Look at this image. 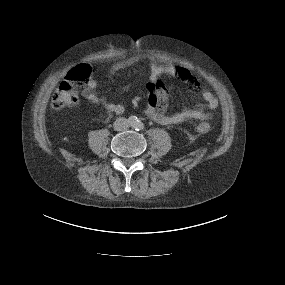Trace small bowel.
<instances>
[{
  "mask_svg": "<svg viewBox=\"0 0 285 285\" xmlns=\"http://www.w3.org/2000/svg\"><path fill=\"white\" fill-rule=\"evenodd\" d=\"M136 62V58H127L125 60H121L111 66L110 72L114 74L127 66L135 64ZM178 69L188 71L185 68L177 67L172 64L151 65V81L149 83L150 93L148 95V104L145 109L146 115L162 125H176L187 120H207L209 118L208 110H214L218 107V100L208 89L202 90L204 105L195 108L183 109L172 114L167 113L168 94L162 84L158 81V77L160 75H178ZM179 77L193 88H198L199 85L193 76H191L190 79L185 76ZM83 96L89 102L102 106L111 113L120 114L124 111V106L121 103L109 102L104 97L98 95L97 83L95 81L88 83L87 87L83 91Z\"/></svg>",
  "mask_w": 285,
  "mask_h": 285,
  "instance_id": "1",
  "label": "small bowel"
}]
</instances>
